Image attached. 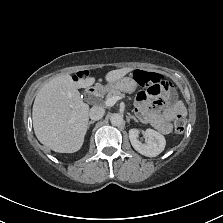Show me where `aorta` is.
<instances>
[{
  "label": "aorta",
  "instance_id": "1",
  "mask_svg": "<svg viewBox=\"0 0 223 223\" xmlns=\"http://www.w3.org/2000/svg\"><path fill=\"white\" fill-rule=\"evenodd\" d=\"M111 124L114 126H121L124 122L121 114L115 113L110 117Z\"/></svg>",
  "mask_w": 223,
  "mask_h": 223
}]
</instances>
